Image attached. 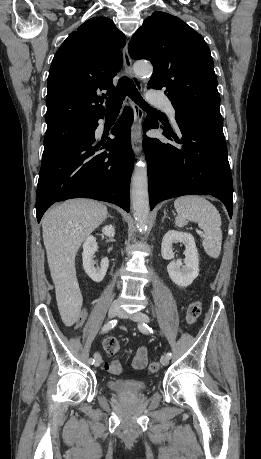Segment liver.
<instances>
[{
  "label": "liver",
  "instance_id": "obj_1",
  "mask_svg": "<svg viewBox=\"0 0 261 459\" xmlns=\"http://www.w3.org/2000/svg\"><path fill=\"white\" fill-rule=\"evenodd\" d=\"M107 207L91 199H71L49 210L42 221L43 241L62 318L73 324L81 296L75 256L82 242L107 218Z\"/></svg>",
  "mask_w": 261,
  "mask_h": 459
}]
</instances>
